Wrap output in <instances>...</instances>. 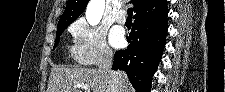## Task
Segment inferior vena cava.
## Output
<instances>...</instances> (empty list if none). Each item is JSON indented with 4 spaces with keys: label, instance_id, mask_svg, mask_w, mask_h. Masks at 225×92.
I'll return each instance as SVG.
<instances>
[{
    "label": "inferior vena cava",
    "instance_id": "1",
    "mask_svg": "<svg viewBox=\"0 0 225 92\" xmlns=\"http://www.w3.org/2000/svg\"><path fill=\"white\" fill-rule=\"evenodd\" d=\"M113 53L109 49H104L102 53V59L99 64V70L106 73L110 78L111 92H118V78L115 71L112 68Z\"/></svg>",
    "mask_w": 225,
    "mask_h": 92
}]
</instances>
